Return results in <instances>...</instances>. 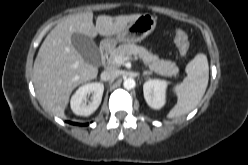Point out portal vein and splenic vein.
Here are the masks:
<instances>
[{
    "label": "portal vein and splenic vein",
    "mask_w": 248,
    "mask_h": 165,
    "mask_svg": "<svg viewBox=\"0 0 248 165\" xmlns=\"http://www.w3.org/2000/svg\"><path fill=\"white\" fill-rule=\"evenodd\" d=\"M130 59H131V57H129V56H126V57L117 56V57H115L114 61H115L116 63L121 64V63H123L124 61L130 60Z\"/></svg>",
    "instance_id": "portal-vein-and-splenic-vein-1"
}]
</instances>
